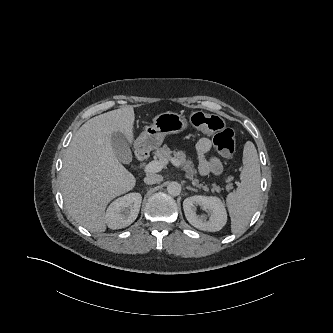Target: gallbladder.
I'll list each match as a JSON object with an SVG mask.
<instances>
[{"mask_svg":"<svg viewBox=\"0 0 333 333\" xmlns=\"http://www.w3.org/2000/svg\"><path fill=\"white\" fill-rule=\"evenodd\" d=\"M111 141L117 159L122 163L129 164L132 161V153L125 136L120 132H114Z\"/></svg>","mask_w":333,"mask_h":333,"instance_id":"obj_1","label":"gallbladder"}]
</instances>
